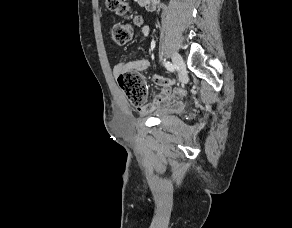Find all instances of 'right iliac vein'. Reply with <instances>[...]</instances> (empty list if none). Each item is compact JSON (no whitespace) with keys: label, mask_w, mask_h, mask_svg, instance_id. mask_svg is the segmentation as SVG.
Masks as SVG:
<instances>
[{"label":"right iliac vein","mask_w":292,"mask_h":228,"mask_svg":"<svg viewBox=\"0 0 292 228\" xmlns=\"http://www.w3.org/2000/svg\"><path fill=\"white\" fill-rule=\"evenodd\" d=\"M172 61L179 70L180 81L185 82L187 80V75H186V70H185V63L182 57L178 53L173 52Z\"/></svg>","instance_id":"right-iliac-vein-1"}]
</instances>
